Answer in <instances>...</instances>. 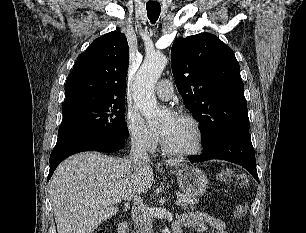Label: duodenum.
I'll list each match as a JSON object with an SVG mask.
<instances>
[{"label": "duodenum", "mask_w": 306, "mask_h": 233, "mask_svg": "<svg viewBox=\"0 0 306 233\" xmlns=\"http://www.w3.org/2000/svg\"><path fill=\"white\" fill-rule=\"evenodd\" d=\"M118 233H129V226L125 220L119 223ZM173 233H181V226L179 224L173 226Z\"/></svg>", "instance_id": "duodenum-1"}]
</instances>
